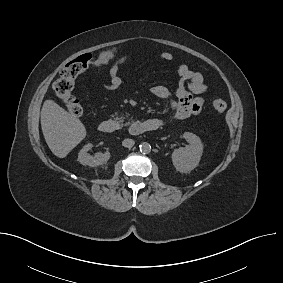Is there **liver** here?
<instances>
[{
  "instance_id": "6515ba94",
  "label": "liver",
  "mask_w": 283,
  "mask_h": 283,
  "mask_svg": "<svg viewBox=\"0 0 283 283\" xmlns=\"http://www.w3.org/2000/svg\"><path fill=\"white\" fill-rule=\"evenodd\" d=\"M41 127L48 147L59 158H65L86 137L80 119L50 99L41 110Z\"/></svg>"
}]
</instances>
